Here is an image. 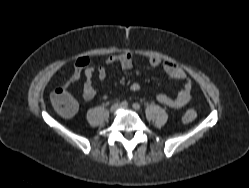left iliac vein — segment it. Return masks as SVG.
<instances>
[{
  "mask_svg": "<svg viewBox=\"0 0 249 188\" xmlns=\"http://www.w3.org/2000/svg\"><path fill=\"white\" fill-rule=\"evenodd\" d=\"M121 108H122V109H126L127 107H122V106H121Z\"/></svg>",
  "mask_w": 249,
  "mask_h": 188,
  "instance_id": "1",
  "label": "left iliac vein"
}]
</instances>
